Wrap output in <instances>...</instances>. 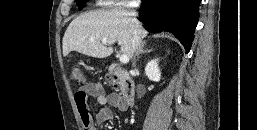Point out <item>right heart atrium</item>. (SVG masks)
Wrapping results in <instances>:
<instances>
[{
	"instance_id": "obj_1",
	"label": "right heart atrium",
	"mask_w": 257,
	"mask_h": 130,
	"mask_svg": "<svg viewBox=\"0 0 257 130\" xmlns=\"http://www.w3.org/2000/svg\"><path fill=\"white\" fill-rule=\"evenodd\" d=\"M103 5L127 4L128 2H117L118 0H100Z\"/></svg>"
}]
</instances>
